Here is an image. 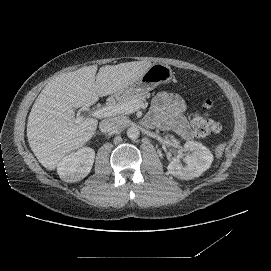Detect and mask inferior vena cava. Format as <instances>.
<instances>
[{"mask_svg":"<svg viewBox=\"0 0 271 271\" xmlns=\"http://www.w3.org/2000/svg\"><path fill=\"white\" fill-rule=\"evenodd\" d=\"M126 127V122L121 118H109L103 120L100 125L99 129L103 133L108 132H115L120 131Z\"/></svg>","mask_w":271,"mask_h":271,"instance_id":"obj_1","label":"inferior vena cava"}]
</instances>
